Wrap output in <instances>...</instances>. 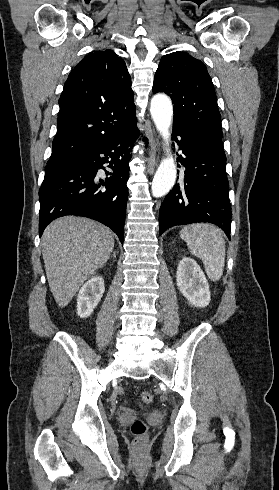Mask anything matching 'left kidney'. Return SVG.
I'll return each mask as SVG.
<instances>
[{
	"instance_id": "obj_1",
	"label": "left kidney",
	"mask_w": 279,
	"mask_h": 490,
	"mask_svg": "<svg viewBox=\"0 0 279 490\" xmlns=\"http://www.w3.org/2000/svg\"><path fill=\"white\" fill-rule=\"evenodd\" d=\"M176 282L179 292L195 308H205L211 300L209 284L195 260L182 258L178 264Z\"/></svg>"
}]
</instances>
